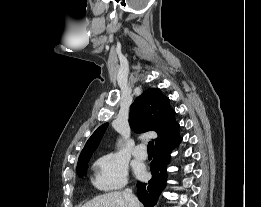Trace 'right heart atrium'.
Returning <instances> with one entry per match:
<instances>
[{
    "label": "right heart atrium",
    "instance_id": "1",
    "mask_svg": "<svg viewBox=\"0 0 261 207\" xmlns=\"http://www.w3.org/2000/svg\"><path fill=\"white\" fill-rule=\"evenodd\" d=\"M128 181V166L115 154H106L95 163V186L103 191L123 188Z\"/></svg>",
    "mask_w": 261,
    "mask_h": 207
}]
</instances>
